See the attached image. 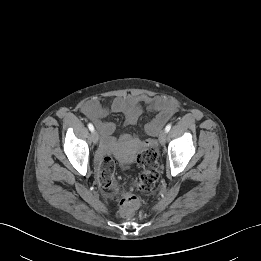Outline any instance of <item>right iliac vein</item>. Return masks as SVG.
Instances as JSON below:
<instances>
[{
  "mask_svg": "<svg viewBox=\"0 0 261 261\" xmlns=\"http://www.w3.org/2000/svg\"><path fill=\"white\" fill-rule=\"evenodd\" d=\"M91 139H92V142H93L94 144H97V143H98V141H99V134H98L97 131H93V132L91 133Z\"/></svg>",
  "mask_w": 261,
  "mask_h": 261,
  "instance_id": "1",
  "label": "right iliac vein"
}]
</instances>
